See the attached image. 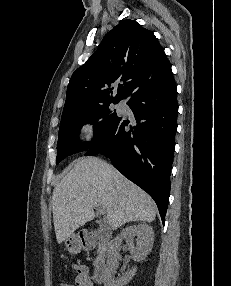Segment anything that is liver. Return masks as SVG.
I'll use <instances>...</instances> for the list:
<instances>
[{
	"instance_id": "liver-1",
	"label": "liver",
	"mask_w": 231,
	"mask_h": 286,
	"mask_svg": "<svg viewBox=\"0 0 231 286\" xmlns=\"http://www.w3.org/2000/svg\"><path fill=\"white\" fill-rule=\"evenodd\" d=\"M97 207L105 209L112 230L132 221L151 222L157 210L153 199L112 165L96 157H82L53 190L57 242L91 221Z\"/></svg>"
}]
</instances>
